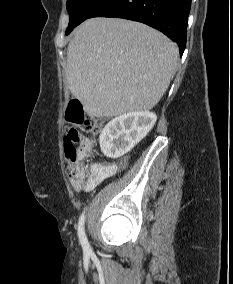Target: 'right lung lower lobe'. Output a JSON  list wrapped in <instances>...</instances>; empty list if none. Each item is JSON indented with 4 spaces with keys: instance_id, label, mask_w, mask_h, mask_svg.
Here are the masks:
<instances>
[{
    "instance_id": "98d812e1",
    "label": "right lung lower lobe",
    "mask_w": 233,
    "mask_h": 284,
    "mask_svg": "<svg viewBox=\"0 0 233 284\" xmlns=\"http://www.w3.org/2000/svg\"><path fill=\"white\" fill-rule=\"evenodd\" d=\"M191 0H108L91 17H118L145 23L175 41L182 55Z\"/></svg>"
}]
</instances>
